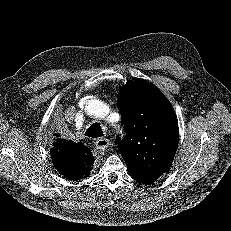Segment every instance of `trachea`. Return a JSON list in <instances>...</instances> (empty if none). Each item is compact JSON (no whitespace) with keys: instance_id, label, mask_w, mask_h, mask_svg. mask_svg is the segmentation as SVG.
<instances>
[{"instance_id":"3493384b","label":"trachea","mask_w":231,"mask_h":231,"mask_svg":"<svg viewBox=\"0 0 231 231\" xmlns=\"http://www.w3.org/2000/svg\"><path fill=\"white\" fill-rule=\"evenodd\" d=\"M103 135V130L99 123H93L85 132V136L98 138Z\"/></svg>"}]
</instances>
